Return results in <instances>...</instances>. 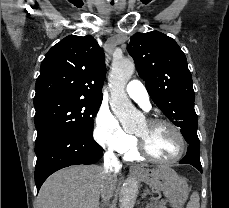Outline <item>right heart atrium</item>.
I'll list each match as a JSON object with an SVG mask.
<instances>
[{"instance_id": "1", "label": "right heart atrium", "mask_w": 229, "mask_h": 208, "mask_svg": "<svg viewBox=\"0 0 229 208\" xmlns=\"http://www.w3.org/2000/svg\"><path fill=\"white\" fill-rule=\"evenodd\" d=\"M93 137L102 148L119 154H130L137 149V139L128 134L105 108H100L95 116Z\"/></svg>"}]
</instances>
